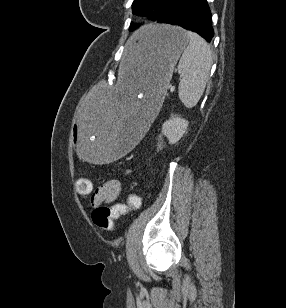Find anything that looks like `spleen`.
<instances>
[{
  "label": "spleen",
  "instance_id": "obj_1",
  "mask_svg": "<svg viewBox=\"0 0 286 308\" xmlns=\"http://www.w3.org/2000/svg\"><path fill=\"white\" fill-rule=\"evenodd\" d=\"M186 33L190 41L177 67L182 77L178 95L185 107L192 108L197 105L205 90L212 66V52L198 34L191 31Z\"/></svg>",
  "mask_w": 286,
  "mask_h": 308
}]
</instances>
